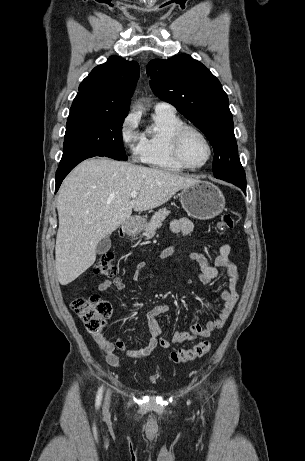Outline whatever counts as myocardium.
I'll return each mask as SVG.
<instances>
[{"label":"myocardium","instance_id":"1","mask_svg":"<svg viewBox=\"0 0 305 461\" xmlns=\"http://www.w3.org/2000/svg\"><path fill=\"white\" fill-rule=\"evenodd\" d=\"M187 133H194L196 134L197 136H199L203 142L205 143L206 147H207V150H208V155H207V158L206 160L198 165V166H192L190 164L187 163V161L185 160V158L183 157V154H182V142H183V139L185 137V135ZM171 149H172V153H173V156L175 158V160L181 165L183 166L185 169H188V170H199L203 167H205L211 160L212 158V155H213V148H212V145L209 141V139L207 138V136L201 131L199 130L198 128L194 127V126H190V125H182L180 126L173 134L172 138H171Z\"/></svg>","mask_w":305,"mask_h":461}]
</instances>
